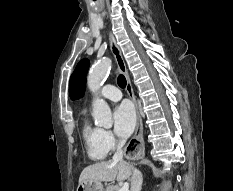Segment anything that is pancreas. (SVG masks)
I'll return each mask as SVG.
<instances>
[{"mask_svg":"<svg viewBox=\"0 0 233 191\" xmlns=\"http://www.w3.org/2000/svg\"><path fill=\"white\" fill-rule=\"evenodd\" d=\"M121 187L118 185L107 187L106 191H120Z\"/></svg>","mask_w":233,"mask_h":191,"instance_id":"obj_1","label":"pancreas"}]
</instances>
